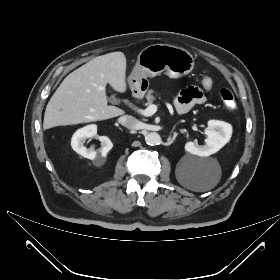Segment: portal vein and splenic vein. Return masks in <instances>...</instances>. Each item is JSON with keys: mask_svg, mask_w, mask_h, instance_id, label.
I'll return each instance as SVG.
<instances>
[{"mask_svg": "<svg viewBox=\"0 0 280 280\" xmlns=\"http://www.w3.org/2000/svg\"><path fill=\"white\" fill-rule=\"evenodd\" d=\"M157 108H158L157 105L151 104L145 109H135V110L140 115L145 116V117H149V116H152L154 113H156Z\"/></svg>", "mask_w": 280, "mask_h": 280, "instance_id": "portal-vein-and-splenic-vein-1", "label": "portal vein and splenic vein"}]
</instances>
